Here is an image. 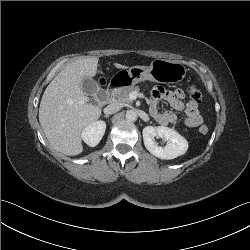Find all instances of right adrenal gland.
Segmentation results:
<instances>
[{
	"mask_svg": "<svg viewBox=\"0 0 250 250\" xmlns=\"http://www.w3.org/2000/svg\"><path fill=\"white\" fill-rule=\"evenodd\" d=\"M104 117H105V118H109V115L106 114V115H104Z\"/></svg>",
	"mask_w": 250,
	"mask_h": 250,
	"instance_id": "2a0ac1e0",
	"label": "right adrenal gland"
}]
</instances>
